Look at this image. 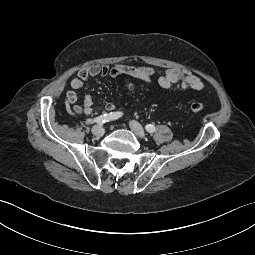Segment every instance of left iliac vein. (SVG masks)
Returning a JSON list of instances; mask_svg holds the SVG:
<instances>
[{
    "label": "left iliac vein",
    "mask_w": 255,
    "mask_h": 255,
    "mask_svg": "<svg viewBox=\"0 0 255 255\" xmlns=\"http://www.w3.org/2000/svg\"><path fill=\"white\" fill-rule=\"evenodd\" d=\"M130 128L131 130L134 132V134L136 136H138L139 138L145 139L146 138V134L145 131L143 129V127L137 122V121H130Z\"/></svg>",
    "instance_id": "obj_1"
}]
</instances>
